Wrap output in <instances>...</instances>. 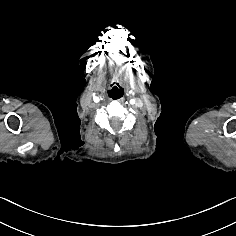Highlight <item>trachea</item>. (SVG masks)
Here are the masks:
<instances>
[{
    "label": "trachea",
    "instance_id": "trachea-1",
    "mask_svg": "<svg viewBox=\"0 0 236 236\" xmlns=\"http://www.w3.org/2000/svg\"><path fill=\"white\" fill-rule=\"evenodd\" d=\"M123 95H124V94H123L122 88H121L120 86H118V85H115V86H113L112 89L110 90L108 97H109L110 100L113 101V100H115V99H120V98H122Z\"/></svg>",
    "mask_w": 236,
    "mask_h": 236
}]
</instances>
